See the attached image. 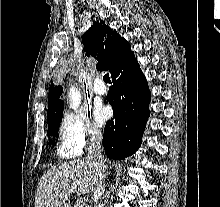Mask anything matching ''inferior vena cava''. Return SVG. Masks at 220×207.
Masks as SVG:
<instances>
[{
  "mask_svg": "<svg viewBox=\"0 0 220 207\" xmlns=\"http://www.w3.org/2000/svg\"><path fill=\"white\" fill-rule=\"evenodd\" d=\"M101 140H102L101 134L93 133L90 138V145L87 154V161H89L99 173V180L94 189V197L97 201L101 200L102 195L104 194V190H105L104 179L107 175L105 159L102 156ZM99 207H102V205L100 204Z\"/></svg>",
  "mask_w": 220,
  "mask_h": 207,
  "instance_id": "inferior-vena-cava-1",
  "label": "inferior vena cava"
}]
</instances>
